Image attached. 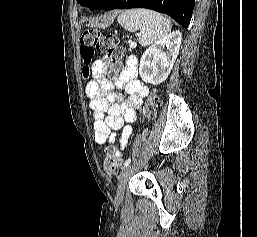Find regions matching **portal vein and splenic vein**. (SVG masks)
Returning a JSON list of instances; mask_svg holds the SVG:
<instances>
[{
	"label": "portal vein and splenic vein",
	"mask_w": 257,
	"mask_h": 237,
	"mask_svg": "<svg viewBox=\"0 0 257 237\" xmlns=\"http://www.w3.org/2000/svg\"><path fill=\"white\" fill-rule=\"evenodd\" d=\"M129 45H130L131 48H134V47H136L137 44L135 42L131 41V42H129Z\"/></svg>",
	"instance_id": "obj_1"
}]
</instances>
